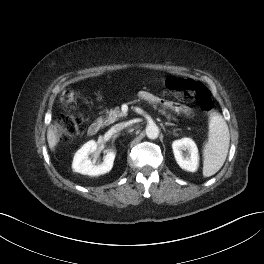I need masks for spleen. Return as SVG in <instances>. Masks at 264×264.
<instances>
[{"label": "spleen", "instance_id": "1", "mask_svg": "<svg viewBox=\"0 0 264 264\" xmlns=\"http://www.w3.org/2000/svg\"><path fill=\"white\" fill-rule=\"evenodd\" d=\"M230 133L224 118L217 112L209 120V137L203 150V176L217 173L223 166L229 149Z\"/></svg>", "mask_w": 264, "mask_h": 264}]
</instances>
